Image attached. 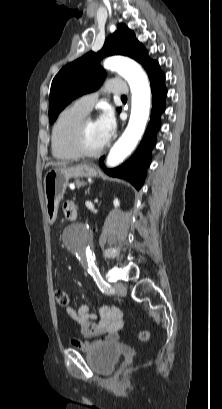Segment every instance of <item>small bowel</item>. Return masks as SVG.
Returning <instances> with one entry per match:
<instances>
[{
    "label": "small bowel",
    "instance_id": "obj_1",
    "mask_svg": "<svg viewBox=\"0 0 222 409\" xmlns=\"http://www.w3.org/2000/svg\"><path fill=\"white\" fill-rule=\"evenodd\" d=\"M76 210L72 203L64 205V214L69 218V214ZM77 211V210H76ZM67 314L76 322L85 341H75L74 346L82 351L103 344L105 342H115L119 338V333L126 325L124 313L114 304L102 306L98 313L92 312L91 304H84L77 310L67 309ZM95 321H97L95 323ZM99 337L97 340H92Z\"/></svg>",
    "mask_w": 222,
    "mask_h": 409
}]
</instances>
